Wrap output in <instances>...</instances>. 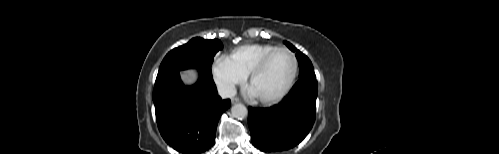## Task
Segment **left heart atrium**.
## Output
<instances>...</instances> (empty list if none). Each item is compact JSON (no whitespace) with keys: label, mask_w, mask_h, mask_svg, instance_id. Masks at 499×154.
<instances>
[{"label":"left heart atrium","mask_w":499,"mask_h":154,"mask_svg":"<svg viewBox=\"0 0 499 154\" xmlns=\"http://www.w3.org/2000/svg\"><path fill=\"white\" fill-rule=\"evenodd\" d=\"M247 94L251 97H257L256 94L254 93L253 89L251 87H248L246 90Z\"/></svg>","instance_id":"39dd6f15"}]
</instances>
